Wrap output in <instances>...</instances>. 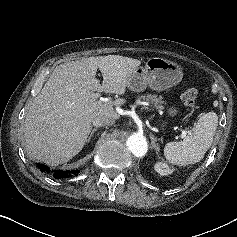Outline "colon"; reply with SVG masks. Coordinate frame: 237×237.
Returning a JSON list of instances; mask_svg holds the SVG:
<instances>
[{"mask_svg":"<svg viewBox=\"0 0 237 237\" xmlns=\"http://www.w3.org/2000/svg\"><path fill=\"white\" fill-rule=\"evenodd\" d=\"M196 98H197V90L195 88H190L182 94L181 96L182 104L186 108L192 109L196 104Z\"/></svg>","mask_w":237,"mask_h":237,"instance_id":"obj_1","label":"colon"}]
</instances>
